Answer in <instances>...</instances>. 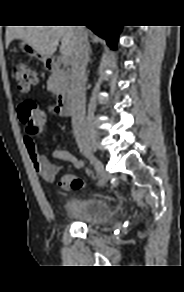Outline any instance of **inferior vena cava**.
<instances>
[{
  "label": "inferior vena cava",
  "mask_w": 184,
  "mask_h": 292,
  "mask_svg": "<svg viewBox=\"0 0 184 292\" xmlns=\"http://www.w3.org/2000/svg\"><path fill=\"white\" fill-rule=\"evenodd\" d=\"M78 38L71 57L70 99L72 106V128L81 151L90 150V141L86 121L85 84L88 63L89 43L84 26H76Z\"/></svg>",
  "instance_id": "1"
}]
</instances>
